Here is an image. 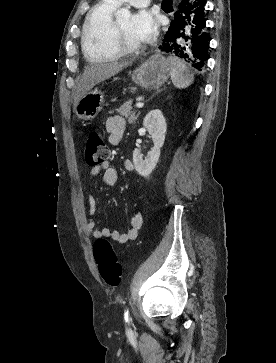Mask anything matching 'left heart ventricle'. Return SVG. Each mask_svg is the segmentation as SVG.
<instances>
[{"instance_id": "obj_1", "label": "left heart ventricle", "mask_w": 276, "mask_h": 363, "mask_svg": "<svg viewBox=\"0 0 276 363\" xmlns=\"http://www.w3.org/2000/svg\"><path fill=\"white\" fill-rule=\"evenodd\" d=\"M124 43L129 46H138L144 43L133 28L131 15L118 19Z\"/></svg>"}]
</instances>
